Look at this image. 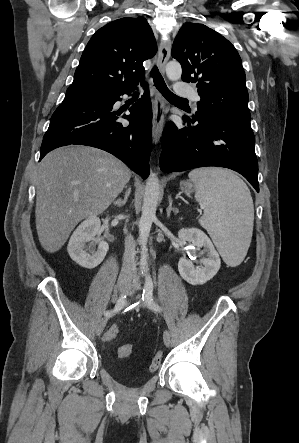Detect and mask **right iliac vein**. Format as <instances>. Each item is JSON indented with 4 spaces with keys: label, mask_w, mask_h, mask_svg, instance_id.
Here are the masks:
<instances>
[{
    "label": "right iliac vein",
    "mask_w": 299,
    "mask_h": 443,
    "mask_svg": "<svg viewBox=\"0 0 299 443\" xmlns=\"http://www.w3.org/2000/svg\"><path fill=\"white\" fill-rule=\"evenodd\" d=\"M129 280H130L129 276H121L119 278L117 286H118V290L120 292H123L126 289L128 283H129ZM106 322H107V318L106 317L102 318L99 321V323L97 325V328H96V333H97L98 336H100L101 333L103 332V329H104V327L106 325Z\"/></svg>",
    "instance_id": "1"
}]
</instances>
